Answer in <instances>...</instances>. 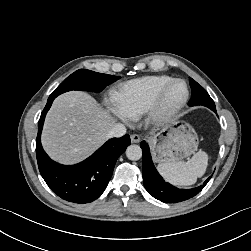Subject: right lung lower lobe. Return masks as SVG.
<instances>
[{
	"label": "right lung lower lobe",
	"instance_id": "1",
	"mask_svg": "<svg viewBox=\"0 0 251 251\" xmlns=\"http://www.w3.org/2000/svg\"><path fill=\"white\" fill-rule=\"evenodd\" d=\"M55 95H50L43 109L36 139L39 171L50 189L69 202L85 204L97 199L106 189L118 157L130 145L129 135L112 138L89 158L76 165H61L51 160L41 145V132L45 115Z\"/></svg>",
	"mask_w": 251,
	"mask_h": 251
}]
</instances>
